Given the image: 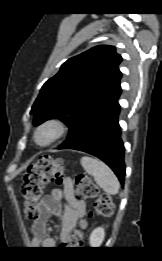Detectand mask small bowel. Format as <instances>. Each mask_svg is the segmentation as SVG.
I'll return each mask as SVG.
<instances>
[{
	"mask_svg": "<svg viewBox=\"0 0 162 261\" xmlns=\"http://www.w3.org/2000/svg\"><path fill=\"white\" fill-rule=\"evenodd\" d=\"M65 200L67 205L61 209V202ZM85 214V204L76 200L73 183L70 178L64 180L63 188H55L51 195L46 197L41 205L39 218L32 227L33 242L45 248L56 247V240L46 236V226L51 216L61 218V233L63 240L69 238L77 227L78 221Z\"/></svg>",
	"mask_w": 162,
	"mask_h": 261,
	"instance_id": "small-bowel-1",
	"label": "small bowel"
}]
</instances>
